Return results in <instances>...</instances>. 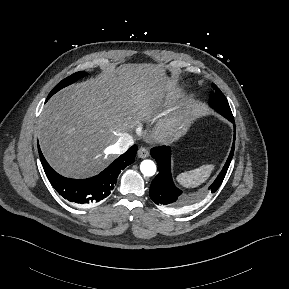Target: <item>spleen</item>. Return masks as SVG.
<instances>
[{"label": "spleen", "instance_id": "obj_1", "mask_svg": "<svg viewBox=\"0 0 289 289\" xmlns=\"http://www.w3.org/2000/svg\"><path fill=\"white\" fill-rule=\"evenodd\" d=\"M213 169V164L203 165L197 169L179 174L176 180L183 187H196L206 181Z\"/></svg>", "mask_w": 289, "mask_h": 289}]
</instances>
